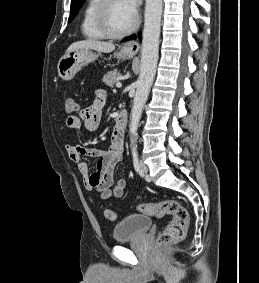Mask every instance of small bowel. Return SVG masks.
<instances>
[{
	"label": "small bowel",
	"mask_w": 259,
	"mask_h": 283,
	"mask_svg": "<svg viewBox=\"0 0 259 283\" xmlns=\"http://www.w3.org/2000/svg\"><path fill=\"white\" fill-rule=\"evenodd\" d=\"M105 105L103 91L96 92L93 103L82 109L78 115H70L66 119V125L73 133H80L83 129L96 130L99 126ZM68 157L73 161L83 176L87 190H96L103 198H119L123 195L126 180L114 179V169L122 160L124 153V135L113 130L111 143L106 149L91 148L83 145L68 143L65 146ZM84 156L96 159V171L90 172Z\"/></svg>",
	"instance_id": "small-bowel-1"
}]
</instances>
